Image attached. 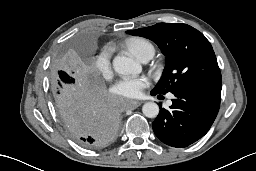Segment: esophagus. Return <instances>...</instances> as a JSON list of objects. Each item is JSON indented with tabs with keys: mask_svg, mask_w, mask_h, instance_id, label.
Wrapping results in <instances>:
<instances>
[{
	"mask_svg": "<svg viewBox=\"0 0 256 171\" xmlns=\"http://www.w3.org/2000/svg\"><path fill=\"white\" fill-rule=\"evenodd\" d=\"M142 102L140 101H135V100H131L128 102V108L129 109H136L137 107H139L141 105Z\"/></svg>",
	"mask_w": 256,
	"mask_h": 171,
	"instance_id": "obj_1",
	"label": "esophagus"
}]
</instances>
